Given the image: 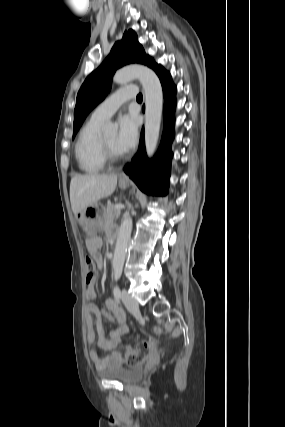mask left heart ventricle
I'll use <instances>...</instances> for the list:
<instances>
[{
  "label": "left heart ventricle",
  "instance_id": "obj_1",
  "mask_svg": "<svg viewBox=\"0 0 285 427\" xmlns=\"http://www.w3.org/2000/svg\"><path fill=\"white\" fill-rule=\"evenodd\" d=\"M116 136L117 133L116 132H110L104 135V138L107 142V144L109 145V147L117 154H123L116 145Z\"/></svg>",
  "mask_w": 285,
  "mask_h": 427
}]
</instances>
